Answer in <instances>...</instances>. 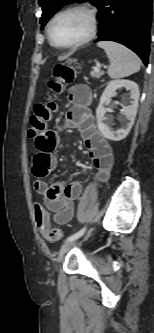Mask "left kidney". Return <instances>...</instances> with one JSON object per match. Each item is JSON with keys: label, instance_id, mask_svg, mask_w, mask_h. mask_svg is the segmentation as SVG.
I'll return each instance as SVG.
<instances>
[{"label": "left kidney", "instance_id": "obj_1", "mask_svg": "<svg viewBox=\"0 0 154 333\" xmlns=\"http://www.w3.org/2000/svg\"><path fill=\"white\" fill-rule=\"evenodd\" d=\"M122 87L130 91L131 102L129 105L122 106V112L127 122L121 128L114 130L112 128V118L105 116L106 109L104 105L116 95V90ZM139 95V87L134 81L113 80L108 83L96 109L98 129L105 138L112 141H120L129 134L136 117Z\"/></svg>", "mask_w": 154, "mask_h": 333}]
</instances>
